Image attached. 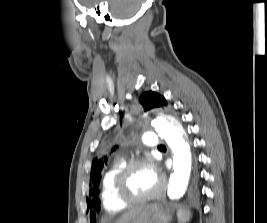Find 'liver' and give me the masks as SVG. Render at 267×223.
Wrapping results in <instances>:
<instances>
[{
	"label": "liver",
	"instance_id": "obj_1",
	"mask_svg": "<svg viewBox=\"0 0 267 223\" xmlns=\"http://www.w3.org/2000/svg\"><path fill=\"white\" fill-rule=\"evenodd\" d=\"M142 209V206L132 208L122 215V217L117 221V223H126L131 218L135 217Z\"/></svg>",
	"mask_w": 267,
	"mask_h": 223
}]
</instances>
